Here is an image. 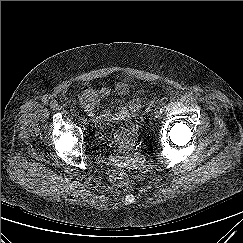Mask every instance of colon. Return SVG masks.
I'll return each mask as SVG.
<instances>
[{"label":"colon","mask_w":243,"mask_h":243,"mask_svg":"<svg viewBox=\"0 0 243 243\" xmlns=\"http://www.w3.org/2000/svg\"><path fill=\"white\" fill-rule=\"evenodd\" d=\"M131 175L125 170H117L113 174V181L119 187H126L131 182Z\"/></svg>","instance_id":"obj_1"}]
</instances>
